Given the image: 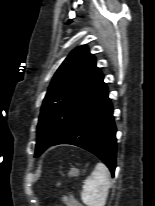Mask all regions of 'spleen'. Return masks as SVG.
Here are the masks:
<instances>
[{
	"label": "spleen",
	"mask_w": 155,
	"mask_h": 206,
	"mask_svg": "<svg viewBox=\"0 0 155 206\" xmlns=\"http://www.w3.org/2000/svg\"><path fill=\"white\" fill-rule=\"evenodd\" d=\"M110 173L103 163H98L94 171L84 181L81 199L87 206H104L110 187Z\"/></svg>",
	"instance_id": "3e777b00"
}]
</instances>
